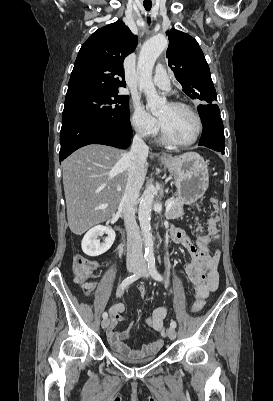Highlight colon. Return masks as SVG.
Here are the masks:
<instances>
[{"mask_svg": "<svg viewBox=\"0 0 273 401\" xmlns=\"http://www.w3.org/2000/svg\"><path fill=\"white\" fill-rule=\"evenodd\" d=\"M71 264L74 266L73 274L76 276L77 282H86L87 276H93L95 274L96 263L95 261H89L88 257H73ZM189 282H203L206 279L203 273H189L187 276ZM136 289L138 290L139 299L144 301L146 299V289L148 285L146 283H137Z\"/></svg>", "mask_w": 273, "mask_h": 401, "instance_id": "5ec220e1", "label": "colon"}]
</instances>
